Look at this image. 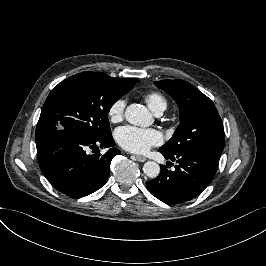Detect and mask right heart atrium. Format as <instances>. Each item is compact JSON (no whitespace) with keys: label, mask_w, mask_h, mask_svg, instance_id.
<instances>
[{"label":"right heart atrium","mask_w":266,"mask_h":266,"mask_svg":"<svg viewBox=\"0 0 266 266\" xmlns=\"http://www.w3.org/2000/svg\"><path fill=\"white\" fill-rule=\"evenodd\" d=\"M127 99L120 97L115 99L107 110V116L111 123L120 122L125 116Z\"/></svg>","instance_id":"1"}]
</instances>
